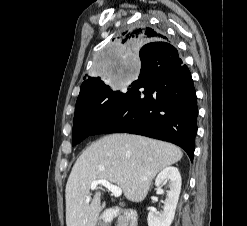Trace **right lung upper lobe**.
<instances>
[{"mask_svg":"<svg viewBox=\"0 0 247 226\" xmlns=\"http://www.w3.org/2000/svg\"><path fill=\"white\" fill-rule=\"evenodd\" d=\"M119 38L122 40L123 43L138 42L149 44L153 42L167 41V37L165 35L148 26H142L139 28L128 30L124 32ZM100 82L101 81L98 78L89 76L82 83L78 98L95 89L100 84Z\"/></svg>","mask_w":247,"mask_h":226,"instance_id":"1","label":"right lung upper lobe"}]
</instances>
